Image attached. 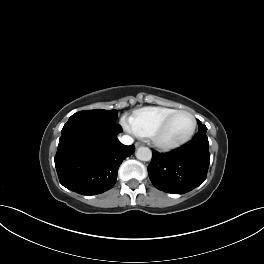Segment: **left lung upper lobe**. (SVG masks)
<instances>
[{
	"instance_id": "left-lung-upper-lobe-1",
	"label": "left lung upper lobe",
	"mask_w": 264,
	"mask_h": 264,
	"mask_svg": "<svg viewBox=\"0 0 264 264\" xmlns=\"http://www.w3.org/2000/svg\"><path fill=\"white\" fill-rule=\"evenodd\" d=\"M198 121V132H203V133H205L206 132V130H207V127L205 126V125H203L202 123H201V121L200 120H197Z\"/></svg>"
}]
</instances>
